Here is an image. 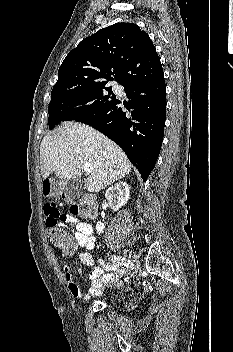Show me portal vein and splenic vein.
Returning a JSON list of instances; mask_svg holds the SVG:
<instances>
[{
    "label": "portal vein and splenic vein",
    "mask_w": 233,
    "mask_h": 352,
    "mask_svg": "<svg viewBox=\"0 0 233 352\" xmlns=\"http://www.w3.org/2000/svg\"><path fill=\"white\" fill-rule=\"evenodd\" d=\"M83 169L86 173H91L93 171V166L91 164L85 163Z\"/></svg>",
    "instance_id": "18ae733b"
}]
</instances>
